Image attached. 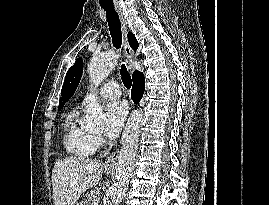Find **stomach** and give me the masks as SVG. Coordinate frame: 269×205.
I'll list each match as a JSON object with an SVG mask.
<instances>
[{
	"mask_svg": "<svg viewBox=\"0 0 269 205\" xmlns=\"http://www.w3.org/2000/svg\"><path fill=\"white\" fill-rule=\"evenodd\" d=\"M76 205H87L86 202H80V203H76Z\"/></svg>",
	"mask_w": 269,
	"mask_h": 205,
	"instance_id": "obj_1",
	"label": "stomach"
}]
</instances>
